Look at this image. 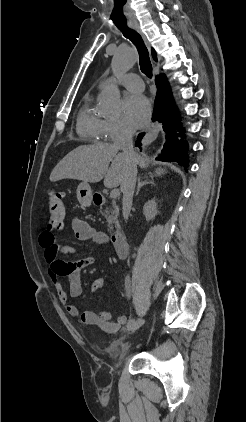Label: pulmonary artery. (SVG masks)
<instances>
[{"mask_svg": "<svg viewBox=\"0 0 246 422\" xmlns=\"http://www.w3.org/2000/svg\"><path fill=\"white\" fill-rule=\"evenodd\" d=\"M111 84L122 85L125 88L134 92H142L144 89V85L141 78L137 74H134V73H128L118 78H114V77L106 78L100 82L99 86L105 87Z\"/></svg>", "mask_w": 246, "mask_h": 422, "instance_id": "e3ab8cb5", "label": "pulmonary artery"}]
</instances>
